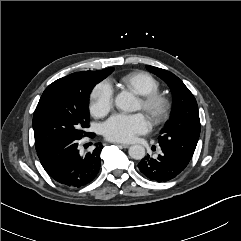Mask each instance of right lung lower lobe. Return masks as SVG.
I'll return each instance as SVG.
<instances>
[{
	"instance_id": "obj_1",
	"label": "right lung lower lobe",
	"mask_w": 241,
	"mask_h": 241,
	"mask_svg": "<svg viewBox=\"0 0 241 241\" xmlns=\"http://www.w3.org/2000/svg\"><path fill=\"white\" fill-rule=\"evenodd\" d=\"M93 138L94 134H88ZM78 139L64 140L48 145L37 151L45 171L57 182L69 187L89 184L100 169L101 144L84 156L78 150Z\"/></svg>"
}]
</instances>
